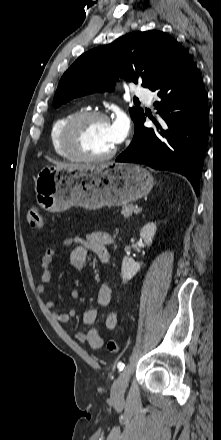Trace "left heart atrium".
Segmentation results:
<instances>
[{"label":"left heart atrium","mask_w":221,"mask_h":440,"mask_svg":"<svg viewBox=\"0 0 221 440\" xmlns=\"http://www.w3.org/2000/svg\"><path fill=\"white\" fill-rule=\"evenodd\" d=\"M129 130V122L125 115L119 114L111 123V132L115 144L121 142L127 135Z\"/></svg>","instance_id":"left-heart-atrium-1"}]
</instances>
